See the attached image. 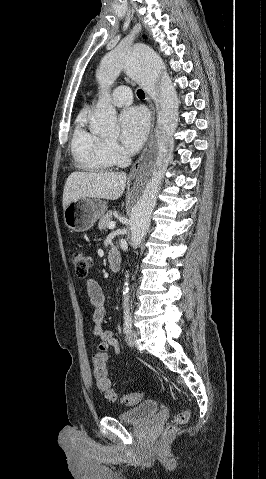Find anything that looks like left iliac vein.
<instances>
[{
	"label": "left iliac vein",
	"mask_w": 266,
	"mask_h": 479,
	"mask_svg": "<svg viewBox=\"0 0 266 479\" xmlns=\"http://www.w3.org/2000/svg\"><path fill=\"white\" fill-rule=\"evenodd\" d=\"M137 336H138V332L136 330H130L127 333L126 342H127L128 346H130V347L135 346V341L137 339Z\"/></svg>",
	"instance_id": "obj_1"
}]
</instances>
